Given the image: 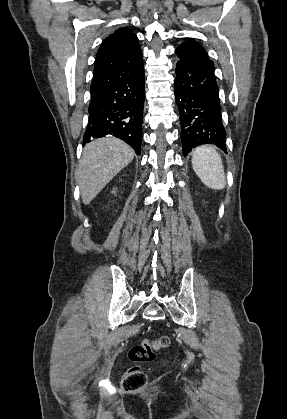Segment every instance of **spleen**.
<instances>
[{
	"label": "spleen",
	"mask_w": 287,
	"mask_h": 419,
	"mask_svg": "<svg viewBox=\"0 0 287 419\" xmlns=\"http://www.w3.org/2000/svg\"><path fill=\"white\" fill-rule=\"evenodd\" d=\"M192 167L207 187L213 190H221L225 187L226 178L222 158L213 146L197 147L193 151Z\"/></svg>",
	"instance_id": "obj_1"
}]
</instances>
